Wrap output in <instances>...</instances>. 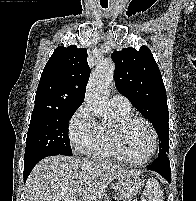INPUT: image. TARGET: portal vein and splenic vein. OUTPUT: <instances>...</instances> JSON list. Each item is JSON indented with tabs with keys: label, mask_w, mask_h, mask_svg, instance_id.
I'll use <instances>...</instances> for the list:
<instances>
[{
	"label": "portal vein and splenic vein",
	"mask_w": 196,
	"mask_h": 201,
	"mask_svg": "<svg viewBox=\"0 0 196 201\" xmlns=\"http://www.w3.org/2000/svg\"><path fill=\"white\" fill-rule=\"evenodd\" d=\"M81 193H82V191H81V190H79V191H78V194H81Z\"/></svg>",
	"instance_id": "18ae733b"
}]
</instances>
